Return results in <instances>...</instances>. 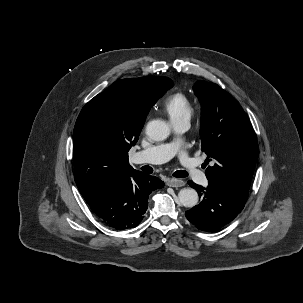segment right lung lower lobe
<instances>
[{
	"label": "right lung lower lobe",
	"instance_id": "98d812e1",
	"mask_svg": "<svg viewBox=\"0 0 303 303\" xmlns=\"http://www.w3.org/2000/svg\"><path fill=\"white\" fill-rule=\"evenodd\" d=\"M163 186L159 178L135 170L106 185L87 203L109 227L115 230L130 229L142 221L149 194Z\"/></svg>",
	"mask_w": 303,
	"mask_h": 303
}]
</instances>
